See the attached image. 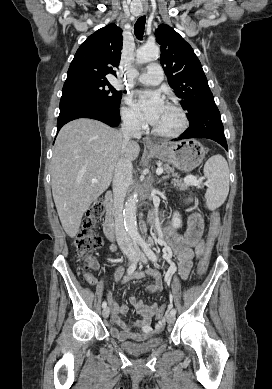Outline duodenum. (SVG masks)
<instances>
[{"mask_svg": "<svg viewBox=\"0 0 272 389\" xmlns=\"http://www.w3.org/2000/svg\"><path fill=\"white\" fill-rule=\"evenodd\" d=\"M104 204L107 209L105 220L103 223V230L106 237L110 240L115 238V225L116 217L113 210V194L112 192H107L104 196Z\"/></svg>", "mask_w": 272, "mask_h": 389, "instance_id": "duodenum-1", "label": "duodenum"}]
</instances>
